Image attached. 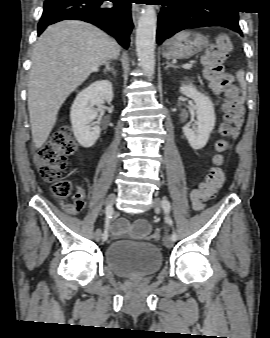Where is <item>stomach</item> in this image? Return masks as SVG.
Instances as JSON below:
<instances>
[{
    "instance_id": "1",
    "label": "stomach",
    "mask_w": 270,
    "mask_h": 338,
    "mask_svg": "<svg viewBox=\"0 0 270 338\" xmlns=\"http://www.w3.org/2000/svg\"><path fill=\"white\" fill-rule=\"evenodd\" d=\"M208 45L207 39L192 31H181L169 40L162 47L164 58L170 59H187L201 52Z\"/></svg>"
}]
</instances>
